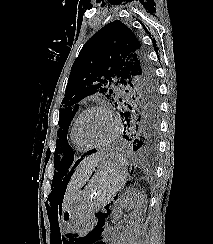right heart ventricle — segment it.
Segmentation results:
<instances>
[{
    "label": "right heart ventricle",
    "mask_w": 213,
    "mask_h": 244,
    "mask_svg": "<svg viewBox=\"0 0 213 244\" xmlns=\"http://www.w3.org/2000/svg\"><path fill=\"white\" fill-rule=\"evenodd\" d=\"M75 122V121H74ZM74 122L73 124L71 125L70 127V130H69V137H70V142L73 146V148L79 152H82L85 150V148L79 144V142L76 140V138L74 137V134H73V126H74Z\"/></svg>",
    "instance_id": "e07e8e85"
}]
</instances>
